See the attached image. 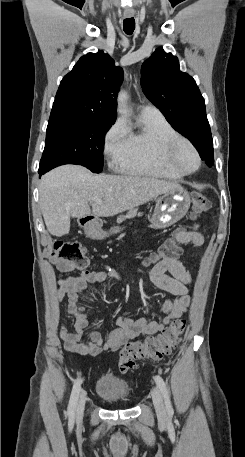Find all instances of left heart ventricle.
Listing matches in <instances>:
<instances>
[{"label":"left heart ventricle","mask_w":245,"mask_h":457,"mask_svg":"<svg viewBox=\"0 0 245 457\" xmlns=\"http://www.w3.org/2000/svg\"><path fill=\"white\" fill-rule=\"evenodd\" d=\"M172 159L175 164L186 170H191L195 167V159L185 146L177 148L173 153Z\"/></svg>","instance_id":"obj_1"}]
</instances>
